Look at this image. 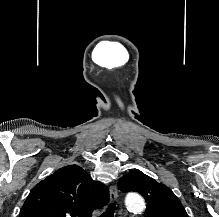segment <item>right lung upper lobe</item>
<instances>
[{
	"label": "right lung upper lobe",
	"instance_id": "right-lung-upper-lobe-1",
	"mask_svg": "<svg viewBox=\"0 0 219 217\" xmlns=\"http://www.w3.org/2000/svg\"><path fill=\"white\" fill-rule=\"evenodd\" d=\"M109 201L108 188L94 181L82 167L58 169L28 195L20 217H91Z\"/></svg>",
	"mask_w": 219,
	"mask_h": 217
}]
</instances>
